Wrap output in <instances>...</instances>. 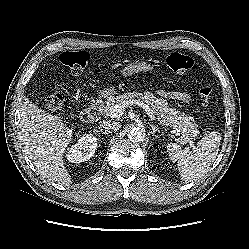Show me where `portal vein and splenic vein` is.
<instances>
[{
  "mask_svg": "<svg viewBox=\"0 0 249 249\" xmlns=\"http://www.w3.org/2000/svg\"><path fill=\"white\" fill-rule=\"evenodd\" d=\"M130 103H133V102H131V101H129V102H123L122 104L115 105L110 110L108 116H110L112 118H119L124 113L125 106L128 105V104H130ZM134 104H137V105L141 106L145 110V112L148 114V116L151 119H155L156 116H155L153 110L147 104H145L143 102H140L139 100H135ZM190 145L193 146V142H190Z\"/></svg>",
  "mask_w": 249,
  "mask_h": 249,
  "instance_id": "portal-vein-and-splenic-vein-1",
  "label": "portal vein and splenic vein"
}]
</instances>
